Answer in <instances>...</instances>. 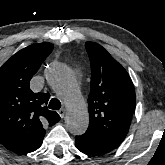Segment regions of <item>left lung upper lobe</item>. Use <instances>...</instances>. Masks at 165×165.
<instances>
[{
    "mask_svg": "<svg viewBox=\"0 0 165 165\" xmlns=\"http://www.w3.org/2000/svg\"><path fill=\"white\" fill-rule=\"evenodd\" d=\"M91 63L87 130L120 144L135 111V90L126 70L99 44L86 42Z\"/></svg>",
    "mask_w": 165,
    "mask_h": 165,
    "instance_id": "obj_1",
    "label": "left lung upper lobe"
}]
</instances>
